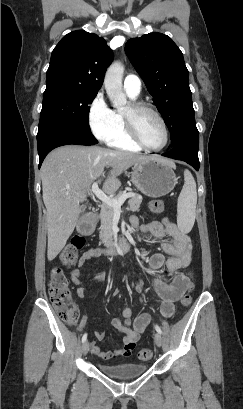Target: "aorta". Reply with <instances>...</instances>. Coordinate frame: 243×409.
<instances>
[{"label":"aorta","instance_id":"762f6f07","mask_svg":"<svg viewBox=\"0 0 243 409\" xmlns=\"http://www.w3.org/2000/svg\"><path fill=\"white\" fill-rule=\"evenodd\" d=\"M124 73V66L121 62H113L107 69L104 79V86L106 93L110 99L113 107L121 108L126 102V95L122 89V78Z\"/></svg>","mask_w":243,"mask_h":409}]
</instances>
